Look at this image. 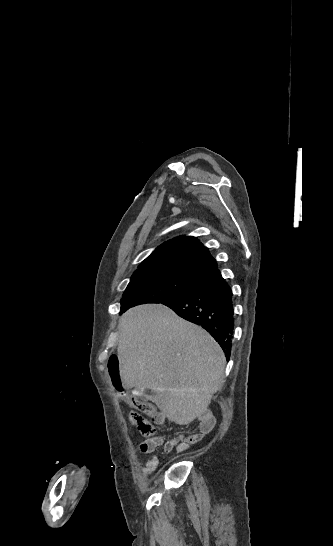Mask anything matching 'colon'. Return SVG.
Masks as SVG:
<instances>
[{
    "mask_svg": "<svg viewBox=\"0 0 333 546\" xmlns=\"http://www.w3.org/2000/svg\"><path fill=\"white\" fill-rule=\"evenodd\" d=\"M107 368L115 389L119 395L124 398L127 404L134 409V411H131L128 415L130 424L136 426L143 436H152L155 431L154 427L143 414L149 416L154 415V406L142 399L127 395V391L121 384L120 362L117 356L112 355L109 357Z\"/></svg>",
    "mask_w": 333,
    "mask_h": 546,
    "instance_id": "colon-1",
    "label": "colon"
}]
</instances>
